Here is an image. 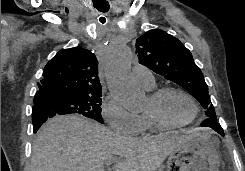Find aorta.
<instances>
[{
  "instance_id": "aorta-1",
  "label": "aorta",
  "mask_w": 245,
  "mask_h": 171,
  "mask_svg": "<svg viewBox=\"0 0 245 171\" xmlns=\"http://www.w3.org/2000/svg\"><path fill=\"white\" fill-rule=\"evenodd\" d=\"M132 53L128 46L122 45L109 57L104 75L110 92L129 111H140L145 103L143 91L130 77Z\"/></svg>"
}]
</instances>
